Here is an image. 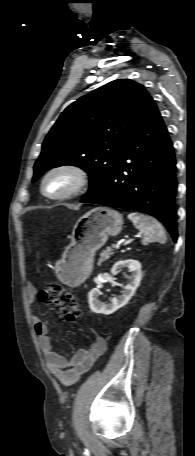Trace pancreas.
<instances>
[{"label":"pancreas","mask_w":195,"mask_h":456,"mask_svg":"<svg viewBox=\"0 0 195 456\" xmlns=\"http://www.w3.org/2000/svg\"><path fill=\"white\" fill-rule=\"evenodd\" d=\"M114 252L112 251V249L110 247H107L105 250L102 251V253L100 254V258H99V261L97 263V265H101L102 262L106 261L107 259L110 258L111 255H113Z\"/></svg>","instance_id":"cf45deb5"}]
</instances>
